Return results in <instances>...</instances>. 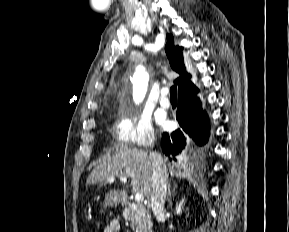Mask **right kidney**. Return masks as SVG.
I'll list each match as a JSON object with an SVG mask.
<instances>
[{"instance_id": "ca27d5eb", "label": "right kidney", "mask_w": 289, "mask_h": 232, "mask_svg": "<svg viewBox=\"0 0 289 232\" xmlns=\"http://www.w3.org/2000/svg\"><path fill=\"white\" fill-rule=\"evenodd\" d=\"M184 204V200H182L179 204L176 206V214L180 215L182 213V206Z\"/></svg>"}]
</instances>
